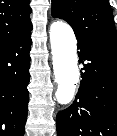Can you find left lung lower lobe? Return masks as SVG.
I'll use <instances>...</instances> for the list:
<instances>
[{
  "label": "left lung lower lobe",
  "mask_w": 117,
  "mask_h": 136,
  "mask_svg": "<svg viewBox=\"0 0 117 136\" xmlns=\"http://www.w3.org/2000/svg\"><path fill=\"white\" fill-rule=\"evenodd\" d=\"M77 41L82 80L74 103L57 114V135L117 136V47Z\"/></svg>",
  "instance_id": "0a47b994"
}]
</instances>
